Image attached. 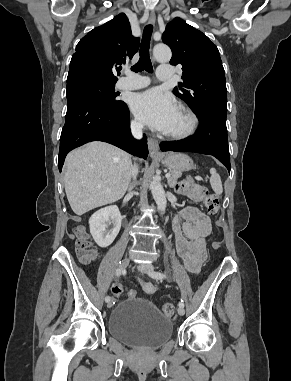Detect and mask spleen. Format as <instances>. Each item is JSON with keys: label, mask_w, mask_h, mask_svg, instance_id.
Segmentation results:
<instances>
[{"label": "spleen", "mask_w": 291, "mask_h": 381, "mask_svg": "<svg viewBox=\"0 0 291 381\" xmlns=\"http://www.w3.org/2000/svg\"><path fill=\"white\" fill-rule=\"evenodd\" d=\"M210 174H211L210 185H211L213 191L217 195H221L223 192V187H222V182H221V178H220L219 174L217 173L216 169H214V168L210 169Z\"/></svg>", "instance_id": "obj_1"}]
</instances>
